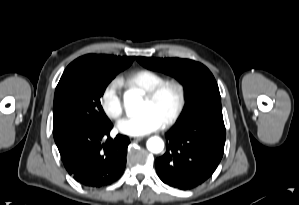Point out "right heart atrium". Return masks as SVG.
I'll use <instances>...</instances> for the list:
<instances>
[{"mask_svg":"<svg viewBox=\"0 0 299 205\" xmlns=\"http://www.w3.org/2000/svg\"><path fill=\"white\" fill-rule=\"evenodd\" d=\"M119 88V80L113 79L105 85L100 95V105L103 112L113 120H118L123 114Z\"/></svg>","mask_w":299,"mask_h":205,"instance_id":"1","label":"right heart atrium"}]
</instances>
